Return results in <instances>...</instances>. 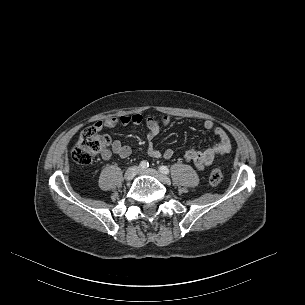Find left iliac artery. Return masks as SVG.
I'll return each instance as SVG.
<instances>
[{
  "instance_id": "obj_1",
  "label": "left iliac artery",
  "mask_w": 305,
  "mask_h": 305,
  "mask_svg": "<svg viewBox=\"0 0 305 305\" xmlns=\"http://www.w3.org/2000/svg\"><path fill=\"white\" fill-rule=\"evenodd\" d=\"M159 170H160V172H162L164 174H169V169L167 166L162 165L159 167Z\"/></svg>"
}]
</instances>
